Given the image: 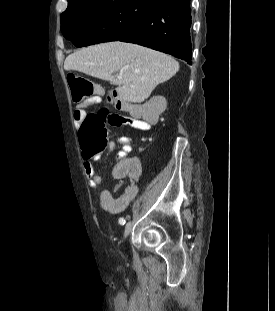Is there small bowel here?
Instances as JSON below:
<instances>
[{"mask_svg":"<svg viewBox=\"0 0 275 311\" xmlns=\"http://www.w3.org/2000/svg\"><path fill=\"white\" fill-rule=\"evenodd\" d=\"M93 105L96 104L81 103L75 108L74 119L77 126H81L87 114L86 108ZM122 108L130 110L132 113V116L124 117L122 125H128L143 131L152 128L154 122L138 118L133 107L122 104ZM117 141L121 146V150L116 156V169H111L110 171L111 176H114L115 180H140L141 175L139 171H143V164H139L138 159L135 158L134 155H128L131 150L132 139L128 136H121ZM111 145L113 149L115 145L113 141ZM81 156L83 160V169L88 179L89 186L92 188L99 187L103 181V177L95 172L94 162L100 158V155L92 156L86 149H83ZM137 191V185L133 183L127 187L125 194L121 198H112V194L115 193V188L104 187L101 192L102 202L97 208L98 213H105L106 216H117L118 212L123 211L127 204L136 196Z\"/></svg>","mask_w":275,"mask_h":311,"instance_id":"c3829d8e","label":"small bowel"}]
</instances>
